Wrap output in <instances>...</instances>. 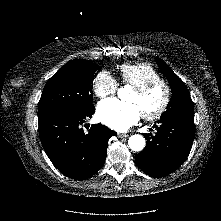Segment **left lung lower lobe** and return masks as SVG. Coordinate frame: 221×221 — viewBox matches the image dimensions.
<instances>
[{
  "label": "left lung lower lobe",
  "instance_id": "left-lung-lower-lobe-1",
  "mask_svg": "<svg viewBox=\"0 0 221 221\" xmlns=\"http://www.w3.org/2000/svg\"><path fill=\"white\" fill-rule=\"evenodd\" d=\"M158 123L155 136L143 134L146 147L136 156L138 167L153 177L166 176L184 163L195 134L194 117L163 118Z\"/></svg>",
  "mask_w": 221,
  "mask_h": 221
}]
</instances>
